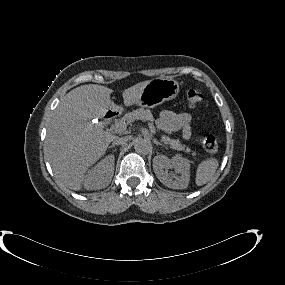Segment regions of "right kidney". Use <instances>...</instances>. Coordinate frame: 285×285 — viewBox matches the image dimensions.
Masks as SVG:
<instances>
[{
  "instance_id": "ca27d5eb",
  "label": "right kidney",
  "mask_w": 285,
  "mask_h": 285,
  "mask_svg": "<svg viewBox=\"0 0 285 285\" xmlns=\"http://www.w3.org/2000/svg\"><path fill=\"white\" fill-rule=\"evenodd\" d=\"M115 158L113 155L106 156L97 165L91 168L84 180V187L87 190H99L106 188L114 174Z\"/></svg>"
}]
</instances>
